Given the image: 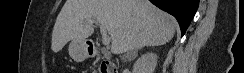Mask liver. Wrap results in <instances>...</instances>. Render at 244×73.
Here are the masks:
<instances>
[{"label":"liver","mask_w":244,"mask_h":73,"mask_svg":"<svg viewBox=\"0 0 244 73\" xmlns=\"http://www.w3.org/2000/svg\"><path fill=\"white\" fill-rule=\"evenodd\" d=\"M93 19L111 35V52L121 54L145 46H160L175 35L177 21L148 0H67L52 32L53 52L68 41H86Z\"/></svg>","instance_id":"obj_1"}]
</instances>
